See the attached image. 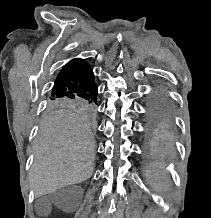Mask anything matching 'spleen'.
<instances>
[{"label":"spleen","instance_id":"spleen-1","mask_svg":"<svg viewBox=\"0 0 211 218\" xmlns=\"http://www.w3.org/2000/svg\"><path fill=\"white\" fill-rule=\"evenodd\" d=\"M146 180L150 188L156 194H162V192H168L170 188V178L165 172V162H153L149 164L146 170Z\"/></svg>","mask_w":211,"mask_h":218}]
</instances>
